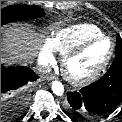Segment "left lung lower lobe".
<instances>
[{
  "label": "left lung lower lobe",
  "instance_id": "left-lung-lower-lobe-1",
  "mask_svg": "<svg viewBox=\"0 0 122 122\" xmlns=\"http://www.w3.org/2000/svg\"><path fill=\"white\" fill-rule=\"evenodd\" d=\"M122 102V61L113 62L98 81L67 93V110L74 115L97 118L111 113Z\"/></svg>",
  "mask_w": 122,
  "mask_h": 122
}]
</instances>
